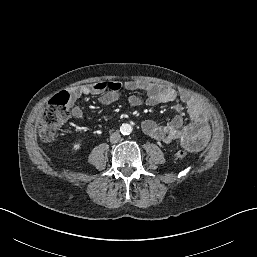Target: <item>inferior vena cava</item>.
I'll return each mask as SVG.
<instances>
[{"label":"inferior vena cava","mask_w":257,"mask_h":257,"mask_svg":"<svg viewBox=\"0 0 257 257\" xmlns=\"http://www.w3.org/2000/svg\"><path fill=\"white\" fill-rule=\"evenodd\" d=\"M120 138H121V135L119 134V132H114L110 135V142L117 143L119 142Z\"/></svg>","instance_id":"1"}]
</instances>
